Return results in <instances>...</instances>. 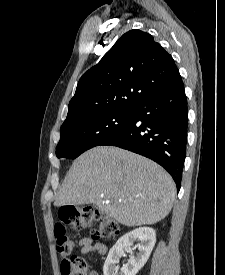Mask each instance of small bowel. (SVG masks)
<instances>
[{
  "instance_id": "c3829d8e",
  "label": "small bowel",
  "mask_w": 225,
  "mask_h": 275,
  "mask_svg": "<svg viewBox=\"0 0 225 275\" xmlns=\"http://www.w3.org/2000/svg\"><path fill=\"white\" fill-rule=\"evenodd\" d=\"M106 246L100 242H94L90 238H83L79 242V253L86 255L95 253L98 255H104L106 253ZM90 275H98L96 272H91Z\"/></svg>"
}]
</instances>
